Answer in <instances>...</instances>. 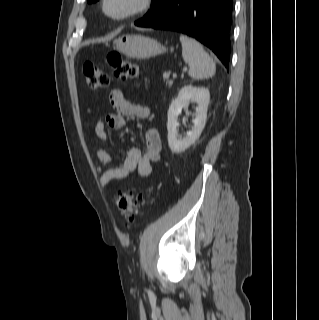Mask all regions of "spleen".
I'll return each instance as SVG.
<instances>
[{"label": "spleen", "mask_w": 319, "mask_h": 320, "mask_svg": "<svg viewBox=\"0 0 319 320\" xmlns=\"http://www.w3.org/2000/svg\"><path fill=\"white\" fill-rule=\"evenodd\" d=\"M182 56L189 64V76L194 79H205L215 74V63L206 50L195 39L180 36Z\"/></svg>", "instance_id": "spleen-1"}]
</instances>
